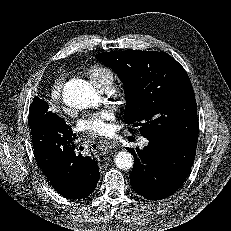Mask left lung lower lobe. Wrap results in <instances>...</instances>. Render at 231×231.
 <instances>
[{
	"label": "left lung lower lobe",
	"mask_w": 231,
	"mask_h": 231,
	"mask_svg": "<svg viewBox=\"0 0 231 231\" xmlns=\"http://www.w3.org/2000/svg\"><path fill=\"white\" fill-rule=\"evenodd\" d=\"M148 140L142 150L128 149L135 158L130 182L141 196L161 200L173 195L186 180L194 162L197 137L175 142Z\"/></svg>",
	"instance_id": "0a47b994"
}]
</instances>
